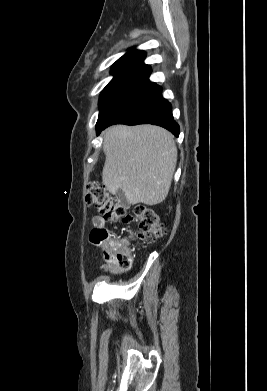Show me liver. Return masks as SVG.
<instances>
[{
	"label": "liver",
	"instance_id": "liver-1",
	"mask_svg": "<svg viewBox=\"0 0 267 391\" xmlns=\"http://www.w3.org/2000/svg\"><path fill=\"white\" fill-rule=\"evenodd\" d=\"M103 151L102 181L111 194L121 189L132 205L165 200L177 163L170 132L153 125L111 126L103 132Z\"/></svg>",
	"mask_w": 267,
	"mask_h": 391
}]
</instances>
